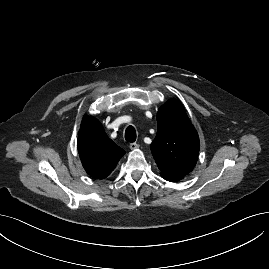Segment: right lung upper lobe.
I'll use <instances>...</instances> for the list:
<instances>
[{
    "label": "right lung upper lobe",
    "mask_w": 269,
    "mask_h": 269,
    "mask_svg": "<svg viewBox=\"0 0 269 269\" xmlns=\"http://www.w3.org/2000/svg\"><path fill=\"white\" fill-rule=\"evenodd\" d=\"M77 148L84 169L96 179L106 178L125 154V151L107 136L102 124L93 117L83 120Z\"/></svg>",
    "instance_id": "obj_1"
}]
</instances>
